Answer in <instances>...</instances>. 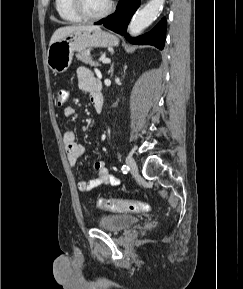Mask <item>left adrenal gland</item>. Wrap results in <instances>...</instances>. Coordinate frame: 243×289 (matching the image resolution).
Returning a JSON list of instances; mask_svg holds the SVG:
<instances>
[{
    "label": "left adrenal gland",
    "instance_id": "left-adrenal-gland-1",
    "mask_svg": "<svg viewBox=\"0 0 243 289\" xmlns=\"http://www.w3.org/2000/svg\"><path fill=\"white\" fill-rule=\"evenodd\" d=\"M114 72V63L111 64L110 69H109V73L112 76Z\"/></svg>",
    "mask_w": 243,
    "mask_h": 289
}]
</instances>
